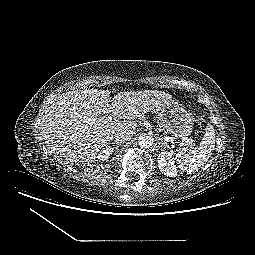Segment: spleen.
<instances>
[{
  "label": "spleen",
  "mask_w": 255,
  "mask_h": 255,
  "mask_svg": "<svg viewBox=\"0 0 255 255\" xmlns=\"http://www.w3.org/2000/svg\"><path fill=\"white\" fill-rule=\"evenodd\" d=\"M215 149V130L211 124L205 129V134L198 147L181 148L176 153L179 168L191 174L203 167Z\"/></svg>",
  "instance_id": "3e777b00"
}]
</instances>
